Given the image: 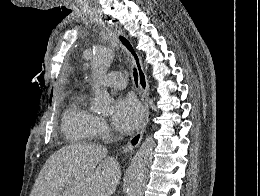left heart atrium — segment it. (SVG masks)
<instances>
[{
	"mask_svg": "<svg viewBox=\"0 0 260 196\" xmlns=\"http://www.w3.org/2000/svg\"><path fill=\"white\" fill-rule=\"evenodd\" d=\"M143 118V107L132 96H122L114 103L111 122L122 133L133 131Z\"/></svg>",
	"mask_w": 260,
	"mask_h": 196,
	"instance_id": "1",
	"label": "left heart atrium"
}]
</instances>
